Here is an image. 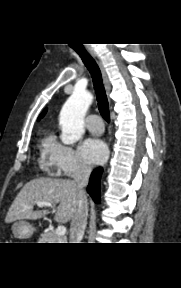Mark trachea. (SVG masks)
I'll return each mask as SVG.
<instances>
[{
  "instance_id": "trachea-1",
  "label": "trachea",
  "mask_w": 181,
  "mask_h": 288,
  "mask_svg": "<svg viewBox=\"0 0 181 288\" xmlns=\"http://www.w3.org/2000/svg\"><path fill=\"white\" fill-rule=\"evenodd\" d=\"M91 74L97 97L98 108L106 122H110V112L107 96L103 86L101 71L93 57L85 49H75Z\"/></svg>"
}]
</instances>
